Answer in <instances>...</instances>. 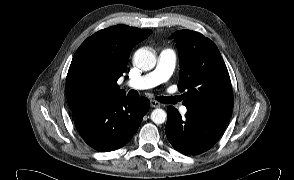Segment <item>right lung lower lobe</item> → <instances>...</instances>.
<instances>
[{"mask_svg": "<svg viewBox=\"0 0 294 180\" xmlns=\"http://www.w3.org/2000/svg\"><path fill=\"white\" fill-rule=\"evenodd\" d=\"M150 107L145 97L118 96L72 112L84 141L100 152L116 150L130 141Z\"/></svg>", "mask_w": 294, "mask_h": 180, "instance_id": "1", "label": "right lung lower lobe"}]
</instances>
